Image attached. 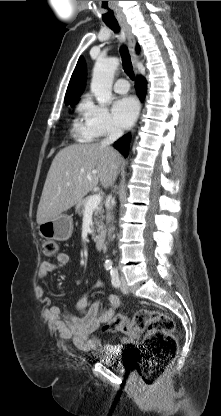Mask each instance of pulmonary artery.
Here are the masks:
<instances>
[{"mask_svg": "<svg viewBox=\"0 0 221 416\" xmlns=\"http://www.w3.org/2000/svg\"><path fill=\"white\" fill-rule=\"evenodd\" d=\"M129 82L125 78H119L114 84V91L119 94H126L129 91Z\"/></svg>", "mask_w": 221, "mask_h": 416, "instance_id": "obj_1", "label": "pulmonary artery"}]
</instances>
